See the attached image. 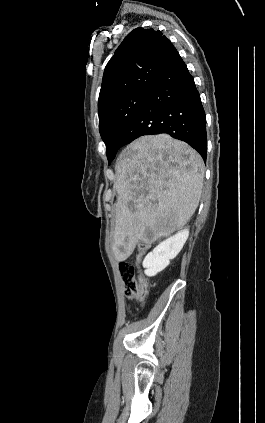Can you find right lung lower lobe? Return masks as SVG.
I'll list each match as a JSON object with an SVG mask.
<instances>
[{"mask_svg": "<svg viewBox=\"0 0 265 423\" xmlns=\"http://www.w3.org/2000/svg\"><path fill=\"white\" fill-rule=\"evenodd\" d=\"M166 133L187 142L206 161V118L199 92L178 54L117 141L118 149L143 135Z\"/></svg>", "mask_w": 265, "mask_h": 423, "instance_id": "right-lung-lower-lobe-1", "label": "right lung lower lobe"}]
</instances>
